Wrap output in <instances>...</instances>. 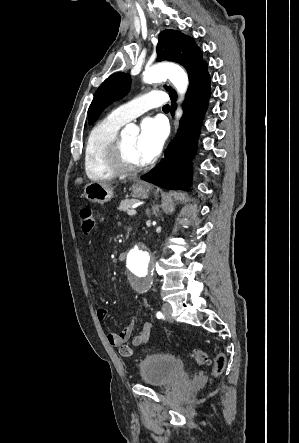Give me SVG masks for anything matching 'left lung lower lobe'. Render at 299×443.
Wrapping results in <instances>:
<instances>
[{
    "instance_id": "obj_1",
    "label": "left lung lower lobe",
    "mask_w": 299,
    "mask_h": 443,
    "mask_svg": "<svg viewBox=\"0 0 299 443\" xmlns=\"http://www.w3.org/2000/svg\"><path fill=\"white\" fill-rule=\"evenodd\" d=\"M210 96V77L207 64H203L190 79L186 99L183 104L184 114L180 129L172 144L161 160L150 172L141 179L169 189H187L190 184L191 172L189 160L195 152L196 139L202 118ZM171 113L176 104V94L170 96Z\"/></svg>"
}]
</instances>
